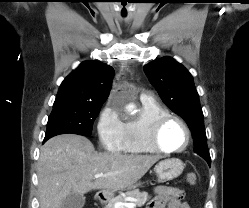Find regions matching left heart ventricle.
I'll list each match as a JSON object with an SVG mask.
<instances>
[{
    "label": "left heart ventricle",
    "mask_w": 249,
    "mask_h": 208,
    "mask_svg": "<svg viewBox=\"0 0 249 208\" xmlns=\"http://www.w3.org/2000/svg\"><path fill=\"white\" fill-rule=\"evenodd\" d=\"M186 141L184 128L177 121H170L166 124L160 134V143L166 149L181 148Z\"/></svg>",
    "instance_id": "left-heart-ventricle-1"
}]
</instances>
